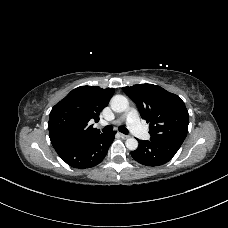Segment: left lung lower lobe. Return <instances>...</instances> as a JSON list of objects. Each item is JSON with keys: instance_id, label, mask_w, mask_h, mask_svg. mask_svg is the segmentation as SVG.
<instances>
[{"instance_id": "obj_1", "label": "left lung lower lobe", "mask_w": 228, "mask_h": 228, "mask_svg": "<svg viewBox=\"0 0 228 228\" xmlns=\"http://www.w3.org/2000/svg\"><path fill=\"white\" fill-rule=\"evenodd\" d=\"M139 146L131 155L140 164L146 166H160L170 161L181 144L165 140H138Z\"/></svg>"}]
</instances>
